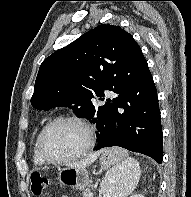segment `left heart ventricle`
<instances>
[{"label": "left heart ventricle", "instance_id": "b2bd125f", "mask_svg": "<svg viewBox=\"0 0 191 197\" xmlns=\"http://www.w3.org/2000/svg\"><path fill=\"white\" fill-rule=\"evenodd\" d=\"M87 143L85 129L76 122H61L44 136L43 148L52 158H66L80 152Z\"/></svg>", "mask_w": 191, "mask_h": 197}]
</instances>
